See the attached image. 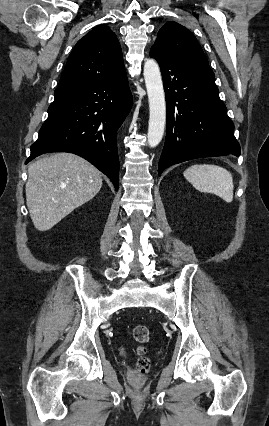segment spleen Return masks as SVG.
I'll list each match as a JSON object with an SVG mask.
<instances>
[{
	"label": "spleen",
	"instance_id": "3e777b00",
	"mask_svg": "<svg viewBox=\"0 0 269 426\" xmlns=\"http://www.w3.org/2000/svg\"><path fill=\"white\" fill-rule=\"evenodd\" d=\"M184 177L199 191L212 193L225 202L233 200V178L231 173L217 165H193L183 173Z\"/></svg>",
	"mask_w": 269,
	"mask_h": 426
}]
</instances>
